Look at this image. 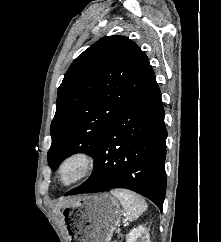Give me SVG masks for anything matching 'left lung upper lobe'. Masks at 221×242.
Here are the masks:
<instances>
[{"label": "left lung upper lobe", "instance_id": "5c2ea615", "mask_svg": "<svg viewBox=\"0 0 221 242\" xmlns=\"http://www.w3.org/2000/svg\"><path fill=\"white\" fill-rule=\"evenodd\" d=\"M155 80L146 54L129 38H101L71 64L58 89L48 163L85 152L94 157L107 128Z\"/></svg>", "mask_w": 221, "mask_h": 242}]
</instances>
